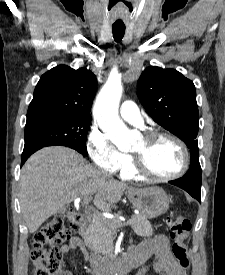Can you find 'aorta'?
I'll return each instance as SVG.
<instances>
[{"label": "aorta", "instance_id": "obj_1", "mask_svg": "<svg viewBox=\"0 0 225 275\" xmlns=\"http://www.w3.org/2000/svg\"><path fill=\"white\" fill-rule=\"evenodd\" d=\"M122 92L121 82L109 79L96 98L93 114L104 134L120 150H129L134 142V134L118 115Z\"/></svg>", "mask_w": 225, "mask_h": 275}]
</instances>
